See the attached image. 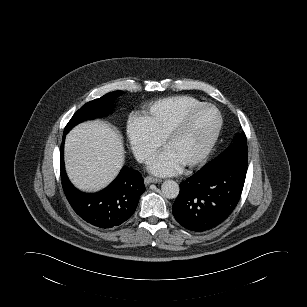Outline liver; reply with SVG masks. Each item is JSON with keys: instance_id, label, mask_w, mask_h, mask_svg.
Wrapping results in <instances>:
<instances>
[{"instance_id": "liver-1", "label": "liver", "mask_w": 307, "mask_h": 307, "mask_svg": "<svg viewBox=\"0 0 307 307\" xmlns=\"http://www.w3.org/2000/svg\"><path fill=\"white\" fill-rule=\"evenodd\" d=\"M122 137L109 124L87 121L65 140V167L71 182L83 191H98L119 173L124 162Z\"/></svg>"}]
</instances>
